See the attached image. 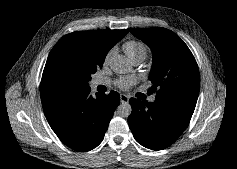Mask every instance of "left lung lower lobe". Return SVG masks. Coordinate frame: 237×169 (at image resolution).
Listing matches in <instances>:
<instances>
[{
    "label": "left lung lower lobe",
    "instance_id": "left-lung-lower-lobe-1",
    "mask_svg": "<svg viewBox=\"0 0 237 169\" xmlns=\"http://www.w3.org/2000/svg\"><path fill=\"white\" fill-rule=\"evenodd\" d=\"M132 113L129 127L135 140L142 146L161 150L174 143L187 127L196 102L182 98H156L148 103L129 100Z\"/></svg>",
    "mask_w": 237,
    "mask_h": 169
}]
</instances>
